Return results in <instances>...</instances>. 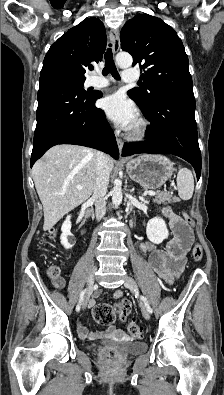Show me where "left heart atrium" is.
<instances>
[{
    "instance_id": "left-heart-atrium-1",
    "label": "left heart atrium",
    "mask_w": 224,
    "mask_h": 395,
    "mask_svg": "<svg viewBox=\"0 0 224 395\" xmlns=\"http://www.w3.org/2000/svg\"><path fill=\"white\" fill-rule=\"evenodd\" d=\"M101 107L113 122L123 128H131L137 120L135 106L121 93L103 98Z\"/></svg>"
}]
</instances>
